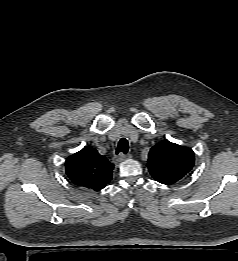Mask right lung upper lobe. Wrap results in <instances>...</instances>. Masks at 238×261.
Here are the masks:
<instances>
[{"instance_id": "cb5924a9", "label": "right lung upper lobe", "mask_w": 238, "mask_h": 261, "mask_svg": "<svg viewBox=\"0 0 238 261\" xmlns=\"http://www.w3.org/2000/svg\"><path fill=\"white\" fill-rule=\"evenodd\" d=\"M65 168L75 185L99 191L112 179L114 165L94 148L85 146L66 159Z\"/></svg>"}]
</instances>
